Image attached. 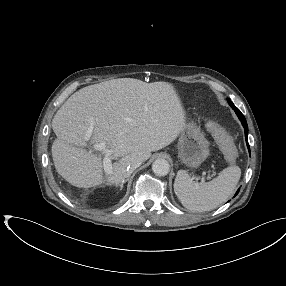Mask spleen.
I'll list each match as a JSON object with an SVG mask.
<instances>
[{
    "mask_svg": "<svg viewBox=\"0 0 286 286\" xmlns=\"http://www.w3.org/2000/svg\"><path fill=\"white\" fill-rule=\"evenodd\" d=\"M241 169L229 166L212 181L195 182L184 170L177 172L174 191L184 207L194 212L210 211L226 202L233 194Z\"/></svg>",
    "mask_w": 286,
    "mask_h": 286,
    "instance_id": "1",
    "label": "spleen"
}]
</instances>
